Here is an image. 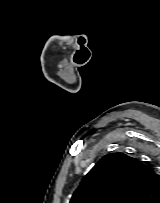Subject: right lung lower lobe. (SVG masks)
Returning <instances> with one entry per match:
<instances>
[{
	"instance_id": "1",
	"label": "right lung lower lobe",
	"mask_w": 160,
	"mask_h": 203,
	"mask_svg": "<svg viewBox=\"0 0 160 203\" xmlns=\"http://www.w3.org/2000/svg\"><path fill=\"white\" fill-rule=\"evenodd\" d=\"M150 203H160V196L156 198L154 201H151Z\"/></svg>"
}]
</instances>
